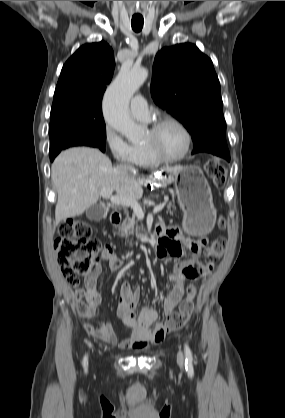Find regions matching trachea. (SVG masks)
Wrapping results in <instances>:
<instances>
[{
	"instance_id": "trachea-1",
	"label": "trachea",
	"mask_w": 285,
	"mask_h": 418,
	"mask_svg": "<svg viewBox=\"0 0 285 418\" xmlns=\"http://www.w3.org/2000/svg\"><path fill=\"white\" fill-rule=\"evenodd\" d=\"M144 20L142 17H132V29L135 32H140L143 28Z\"/></svg>"
}]
</instances>
